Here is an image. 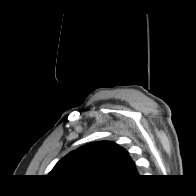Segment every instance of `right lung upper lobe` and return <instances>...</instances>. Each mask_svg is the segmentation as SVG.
Segmentation results:
<instances>
[{
    "label": "right lung upper lobe",
    "instance_id": "cb5924a9",
    "mask_svg": "<svg viewBox=\"0 0 196 196\" xmlns=\"http://www.w3.org/2000/svg\"><path fill=\"white\" fill-rule=\"evenodd\" d=\"M49 175L88 183H113L135 178L137 171L122 147L98 141L67 154Z\"/></svg>",
    "mask_w": 196,
    "mask_h": 196
}]
</instances>
